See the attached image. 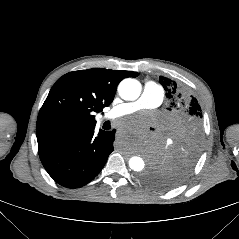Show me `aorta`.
Listing matches in <instances>:
<instances>
[{
	"label": "aorta",
	"mask_w": 239,
	"mask_h": 239,
	"mask_svg": "<svg viewBox=\"0 0 239 239\" xmlns=\"http://www.w3.org/2000/svg\"><path fill=\"white\" fill-rule=\"evenodd\" d=\"M118 92L124 100H136L141 93V84L135 79L126 78L120 82ZM129 166L134 171H142L145 167V162L141 157L133 156L129 159Z\"/></svg>",
	"instance_id": "762f6f07"
}]
</instances>
